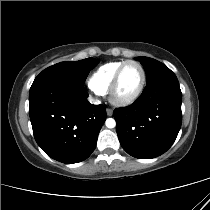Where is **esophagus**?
Wrapping results in <instances>:
<instances>
[{"instance_id":"34e87169","label":"esophagus","mask_w":210,"mask_h":210,"mask_svg":"<svg viewBox=\"0 0 210 210\" xmlns=\"http://www.w3.org/2000/svg\"><path fill=\"white\" fill-rule=\"evenodd\" d=\"M106 113H107V116H112L113 115V110L110 109V108H107Z\"/></svg>"}]
</instances>
